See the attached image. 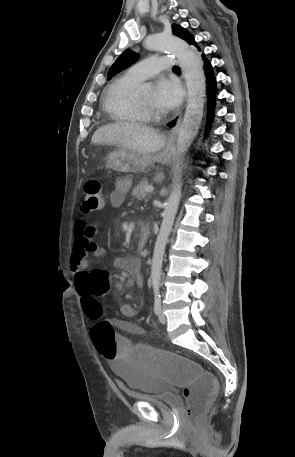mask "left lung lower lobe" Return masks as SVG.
Here are the masks:
<instances>
[{"label": "left lung lower lobe", "mask_w": 295, "mask_h": 457, "mask_svg": "<svg viewBox=\"0 0 295 457\" xmlns=\"http://www.w3.org/2000/svg\"><path fill=\"white\" fill-rule=\"evenodd\" d=\"M198 48V51H201V49L198 47L197 43L194 41L192 43ZM202 58L204 61V71H205V76L207 78V97H208V117H207V130L210 128L211 121L213 118V113H214V103H215V90H216V79L214 77L213 73V68L211 63L207 60L204 54H202ZM175 121H173L170 125H173Z\"/></svg>", "instance_id": "left-lung-lower-lobe-1"}]
</instances>
